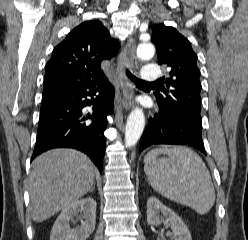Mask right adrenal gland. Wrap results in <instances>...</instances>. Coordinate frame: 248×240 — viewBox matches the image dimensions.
I'll return each instance as SVG.
<instances>
[{
  "instance_id": "obj_1",
  "label": "right adrenal gland",
  "mask_w": 248,
  "mask_h": 240,
  "mask_svg": "<svg viewBox=\"0 0 248 240\" xmlns=\"http://www.w3.org/2000/svg\"><path fill=\"white\" fill-rule=\"evenodd\" d=\"M95 190V186L93 185V187L90 189V192H94Z\"/></svg>"
}]
</instances>
